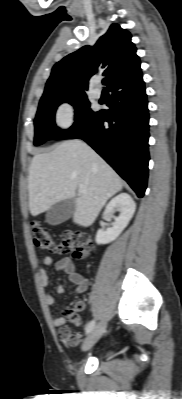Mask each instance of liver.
I'll use <instances>...</instances> for the list:
<instances>
[{
	"mask_svg": "<svg viewBox=\"0 0 182 399\" xmlns=\"http://www.w3.org/2000/svg\"><path fill=\"white\" fill-rule=\"evenodd\" d=\"M80 185L86 194L76 195ZM118 174L86 143L69 140L48 153L36 154L29 170V209L37 216L54 204L75 199L73 222L87 227L107 200L119 192Z\"/></svg>",
	"mask_w": 182,
	"mask_h": 399,
	"instance_id": "6515ba94",
	"label": "liver"
}]
</instances>
